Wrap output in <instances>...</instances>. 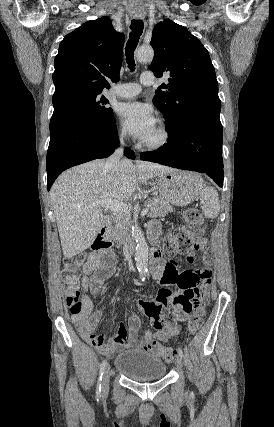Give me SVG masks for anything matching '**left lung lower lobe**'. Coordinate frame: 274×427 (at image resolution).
I'll list each match as a JSON object with an SVG mask.
<instances>
[{"label": "left lung lower lobe", "instance_id": "left-lung-lower-lobe-1", "mask_svg": "<svg viewBox=\"0 0 274 427\" xmlns=\"http://www.w3.org/2000/svg\"><path fill=\"white\" fill-rule=\"evenodd\" d=\"M222 125L220 120L198 118L158 151L143 153L141 159L184 170L206 173L220 187L223 185Z\"/></svg>", "mask_w": 274, "mask_h": 427}]
</instances>
